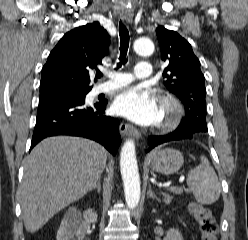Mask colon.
I'll list each match as a JSON object with an SVG mask.
<instances>
[{"label":"colon","mask_w":248,"mask_h":240,"mask_svg":"<svg viewBox=\"0 0 248 240\" xmlns=\"http://www.w3.org/2000/svg\"><path fill=\"white\" fill-rule=\"evenodd\" d=\"M189 211L199 224L201 240H217L218 224L211 211L197 203H190Z\"/></svg>","instance_id":"5ec220e1"}]
</instances>
